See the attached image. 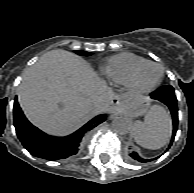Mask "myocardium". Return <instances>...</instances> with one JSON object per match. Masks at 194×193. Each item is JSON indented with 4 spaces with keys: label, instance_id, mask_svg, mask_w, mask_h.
Wrapping results in <instances>:
<instances>
[{
    "label": "myocardium",
    "instance_id": "obj_1",
    "mask_svg": "<svg viewBox=\"0 0 194 193\" xmlns=\"http://www.w3.org/2000/svg\"><path fill=\"white\" fill-rule=\"evenodd\" d=\"M146 66H155L160 70V76H159L158 80L154 84L149 85V86L143 85L140 81V74ZM163 76H164L163 66L159 63L147 60V61L139 64L135 68L130 87L134 91L139 92V93H150V92L154 91L161 84Z\"/></svg>",
    "mask_w": 194,
    "mask_h": 193
}]
</instances>
